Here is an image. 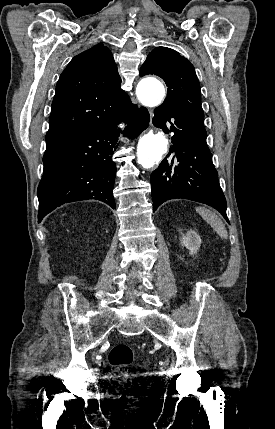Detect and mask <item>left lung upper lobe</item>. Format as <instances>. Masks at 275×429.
<instances>
[{"label":"left lung upper lobe","instance_id":"obj_1","mask_svg":"<svg viewBox=\"0 0 275 429\" xmlns=\"http://www.w3.org/2000/svg\"><path fill=\"white\" fill-rule=\"evenodd\" d=\"M147 74L161 77L168 87L162 105L204 124L200 83L194 66L185 57L171 48L156 47L149 53L139 72L141 77Z\"/></svg>","mask_w":275,"mask_h":429}]
</instances>
